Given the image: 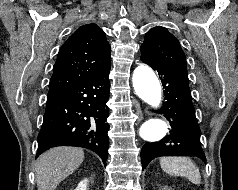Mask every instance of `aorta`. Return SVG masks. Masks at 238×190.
Returning <instances> with one entry per match:
<instances>
[{"instance_id":"obj_1","label":"aorta","mask_w":238,"mask_h":190,"mask_svg":"<svg viewBox=\"0 0 238 190\" xmlns=\"http://www.w3.org/2000/svg\"><path fill=\"white\" fill-rule=\"evenodd\" d=\"M133 87L138 97L153 108H159L162 90L153 70L146 65L138 66L132 77ZM167 124L160 118H149L140 127L139 135L147 142H157L167 133Z\"/></svg>"}]
</instances>
